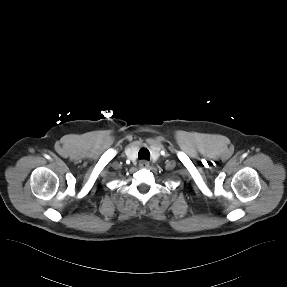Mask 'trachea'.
I'll list each match as a JSON object with an SVG mask.
<instances>
[{"label": "trachea", "instance_id": "trachea-1", "mask_svg": "<svg viewBox=\"0 0 287 287\" xmlns=\"http://www.w3.org/2000/svg\"><path fill=\"white\" fill-rule=\"evenodd\" d=\"M138 158L150 160V152L146 148H142L138 153Z\"/></svg>", "mask_w": 287, "mask_h": 287}]
</instances>
